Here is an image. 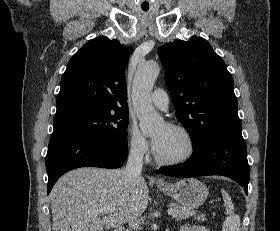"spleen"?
Instances as JSON below:
<instances>
[{"instance_id": "spleen-1", "label": "spleen", "mask_w": 280, "mask_h": 231, "mask_svg": "<svg viewBox=\"0 0 280 231\" xmlns=\"http://www.w3.org/2000/svg\"><path fill=\"white\" fill-rule=\"evenodd\" d=\"M221 191L226 213L228 215L223 223V231H240V217L237 215V213H234L232 199L225 189H221Z\"/></svg>"}]
</instances>
